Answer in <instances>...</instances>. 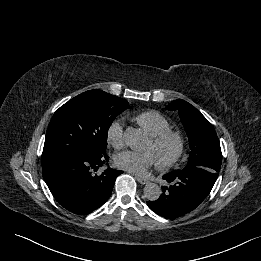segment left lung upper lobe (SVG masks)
I'll return each mask as SVG.
<instances>
[{
    "label": "left lung upper lobe",
    "mask_w": 261,
    "mask_h": 261,
    "mask_svg": "<svg viewBox=\"0 0 261 261\" xmlns=\"http://www.w3.org/2000/svg\"><path fill=\"white\" fill-rule=\"evenodd\" d=\"M166 109L179 112L188 135L191 152L187 166H202L219 172L222 153L212 124L199 110L184 100H174Z\"/></svg>",
    "instance_id": "obj_1"
}]
</instances>
